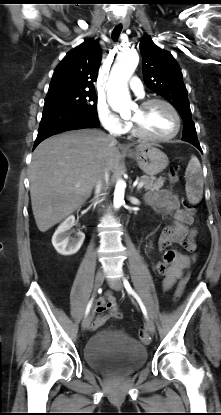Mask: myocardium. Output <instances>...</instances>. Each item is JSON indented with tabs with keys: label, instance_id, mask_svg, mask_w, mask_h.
<instances>
[{
	"label": "myocardium",
	"instance_id": "myocardium-1",
	"mask_svg": "<svg viewBox=\"0 0 221 415\" xmlns=\"http://www.w3.org/2000/svg\"><path fill=\"white\" fill-rule=\"evenodd\" d=\"M155 103H160L165 105L173 114L174 118H175V122H176V126L174 131L166 136H155V135H151L149 133H147L143 127L141 126V124L135 120H131V124H132V128H133V132L140 138L145 139V140H149V141H156V142H165V141H169L174 139L180 132L181 130V125H182V121H181V116L178 112V110L176 109V107L169 101L163 99V98H150L147 99L143 102H141V104L139 105V107L141 109H146L149 106L155 104Z\"/></svg>",
	"mask_w": 221,
	"mask_h": 415
}]
</instances>
